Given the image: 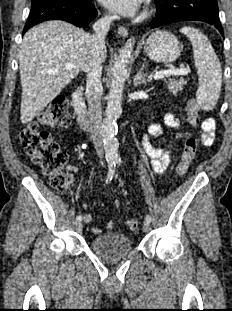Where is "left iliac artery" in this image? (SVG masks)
I'll return each mask as SVG.
<instances>
[{
	"label": "left iliac artery",
	"instance_id": "1",
	"mask_svg": "<svg viewBox=\"0 0 232 311\" xmlns=\"http://www.w3.org/2000/svg\"><path fill=\"white\" fill-rule=\"evenodd\" d=\"M115 162L118 163V164H120V163H121V158L117 157V158L115 159ZM151 220H152L151 216H150V215H147V216H146V221H147V222H151Z\"/></svg>",
	"mask_w": 232,
	"mask_h": 311
}]
</instances>
